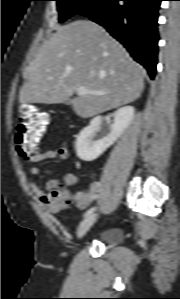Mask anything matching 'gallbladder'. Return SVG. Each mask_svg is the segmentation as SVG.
<instances>
[{
    "label": "gallbladder",
    "mask_w": 180,
    "mask_h": 299,
    "mask_svg": "<svg viewBox=\"0 0 180 299\" xmlns=\"http://www.w3.org/2000/svg\"><path fill=\"white\" fill-rule=\"evenodd\" d=\"M65 104H67V105L71 104V100H70V99L67 100V101L65 102Z\"/></svg>",
    "instance_id": "obj_1"
}]
</instances>
